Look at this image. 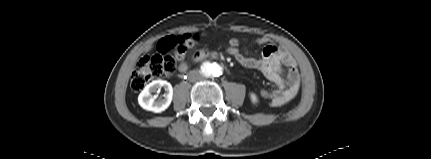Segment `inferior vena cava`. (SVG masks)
<instances>
[{"label":"inferior vena cava","instance_id":"1","mask_svg":"<svg viewBox=\"0 0 431 159\" xmlns=\"http://www.w3.org/2000/svg\"><path fill=\"white\" fill-rule=\"evenodd\" d=\"M189 79L191 82H196V81H200L202 79V77L198 72L192 71L189 74Z\"/></svg>","mask_w":431,"mask_h":159}]
</instances>
